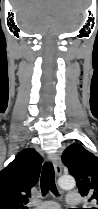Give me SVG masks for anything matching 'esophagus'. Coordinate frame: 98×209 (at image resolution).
<instances>
[{
  "mask_svg": "<svg viewBox=\"0 0 98 209\" xmlns=\"http://www.w3.org/2000/svg\"><path fill=\"white\" fill-rule=\"evenodd\" d=\"M52 162L54 165L56 175L60 176L62 173V164H61L60 156L58 154H54L52 156Z\"/></svg>",
  "mask_w": 98,
  "mask_h": 209,
  "instance_id": "obj_1",
  "label": "esophagus"
}]
</instances>
